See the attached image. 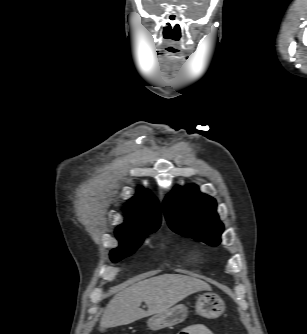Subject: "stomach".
Here are the masks:
<instances>
[{
    "label": "stomach",
    "mask_w": 307,
    "mask_h": 334,
    "mask_svg": "<svg viewBox=\"0 0 307 334\" xmlns=\"http://www.w3.org/2000/svg\"><path fill=\"white\" fill-rule=\"evenodd\" d=\"M196 312L208 319L219 317L225 310L224 301L214 293L200 295L196 302ZM188 316V308L179 304L152 316L147 324L152 330H160L182 323Z\"/></svg>",
    "instance_id": "0dacf381"
}]
</instances>
